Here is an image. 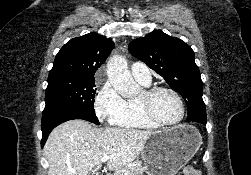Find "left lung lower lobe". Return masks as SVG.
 <instances>
[{
  "label": "left lung lower lobe",
  "instance_id": "1",
  "mask_svg": "<svg viewBox=\"0 0 251 175\" xmlns=\"http://www.w3.org/2000/svg\"><path fill=\"white\" fill-rule=\"evenodd\" d=\"M188 117L187 122H197L206 125L207 116L205 105L201 104H188Z\"/></svg>",
  "mask_w": 251,
  "mask_h": 175
}]
</instances>
